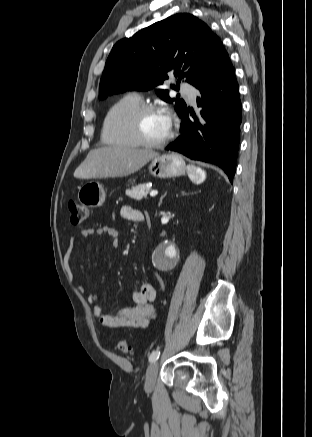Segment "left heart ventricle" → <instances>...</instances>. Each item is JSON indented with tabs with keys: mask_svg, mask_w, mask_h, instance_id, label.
Listing matches in <instances>:
<instances>
[{
	"mask_svg": "<svg viewBox=\"0 0 312 437\" xmlns=\"http://www.w3.org/2000/svg\"><path fill=\"white\" fill-rule=\"evenodd\" d=\"M144 135L154 141L164 139L170 129L163 112H154L146 115L142 121Z\"/></svg>",
	"mask_w": 312,
	"mask_h": 437,
	"instance_id": "obj_1",
	"label": "left heart ventricle"
}]
</instances>
